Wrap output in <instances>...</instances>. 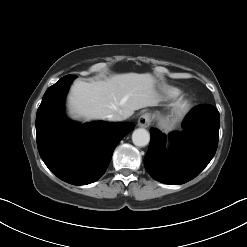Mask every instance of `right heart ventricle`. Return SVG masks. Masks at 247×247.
Here are the masks:
<instances>
[{
	"instance_id": "1",
	"label": "right heart ventricle",
	"mask_w": 247,
	"mask_h": 247,
	"mask_svg": "<svg viewBox=\"0 0 247 247\" xmlns=\"http://www.w3.org/2000/svg\"><path fill=\"white\" fill-rule=\"evenodd\" d=\"M165 93H166L168 98L174 99V98H177L178 96H180L182 91L176 87H169L166 89Z\"/></svg>"
}]
</instances>
